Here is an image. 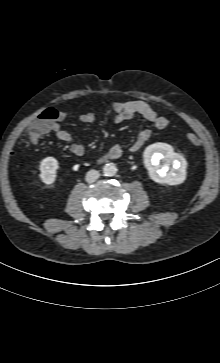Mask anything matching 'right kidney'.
<instances>
[{
  "label": "right kidney",
  "mask_w": 220,
  "mask_h": 363,
  "mask_svg": "<svg viewBox=\"0 0 220 363\" xmlns=\"http://www.w3.org/2000/svg\"><path fill=\"white\" fill-rule=\"evenodd\" d=\"M58 161L53 157L44 158L40 162V180L45 184H52L56 178V170L58 169Z\"/></svg>",
  "instance_id": "right-kidney-1"
}]
</instances>
